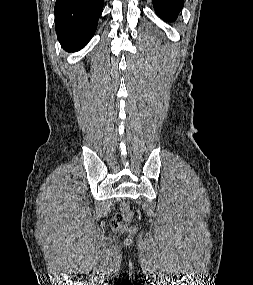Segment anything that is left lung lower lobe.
<instances>
[{"instance_id": "left-lung-lower-lobe-1", "label": "left lung lower lobe", "mask_w": 253, "mask_h": 285, "mask_svg": "<svg viewBox=\"0 0 253 285\" xmlns=\"http://www.w3.org/2000/svg\"><path fill=\"white\" fill-rule=\"evenodd\" d=\"M156 14L167 22L175 21L184 5V0H152Z\"/></svg>"}]
</instances>
